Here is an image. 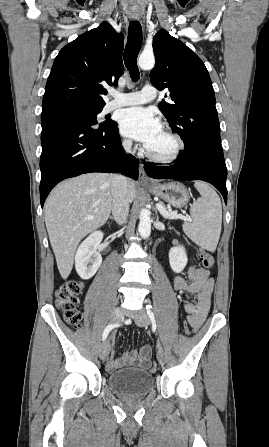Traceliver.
<instances>
[{"label": "liver", "instance_id": "6515ba94", "mask_svg": "<svg viewBox=\"0 0 269 447\" xmlns=\"http://www.w3.org/2000/svg\"><path fill=\"white\" fill-rule=\"evenodd\" d=\"M111 176L84 174L58 184L45 202V224L61 277H68L82 237L105 224L112 204ZM128 200L136 186L127 180Z\"/></svg>", "mask_w": 269, "mask_h": 447}]
</instances>
